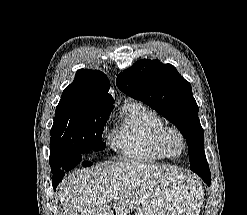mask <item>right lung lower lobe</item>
Masks as SVG:
<instances>
[{
  "label": "right lung lower lobe",
  "mask_w": 247,
  "mask_h": 215,
  "mask_svg": "<svg viewBox=\"0 0 247 215\" xmlns=\"http://www.w3.org/2000/svg\"><path fill=\"white\" fill-rule=\"evenodd\" d=\"M70 161L74 162L77 165L82 162L83 166H90L92 164L91 162L86 161L85 158L81 155H74V156L69 157L67 159V162H70ZM65 171H70V170H68L67 167L62 166L61 169L52 172L53 173L52 182H53L54 190L57 187V185L59 184V182L61 181V179L64 177Z\"/></svg>",
  "instance_id": "right-lung-lower-lobe-1"
}]
</instances>
